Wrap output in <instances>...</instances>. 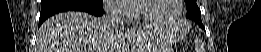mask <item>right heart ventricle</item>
<instances>
[{
    "label": "right heart ventricle",
    "mask_w": 261,
    "mask_h": 52,
    "mask_svg": "<svg viewBox=\"0 0 261 52\" xmlns=\"http://www.w3.org/2000/svg\"><path fill=\"white\" fill-rule=\"evenodd\" d=\"M125 8L127 9V10H132V6H125ZM142 20L139 18V17H135L134 18V21L132 22V24H136V23H139V22H141Z\"/></svg>",
    "instance_id": "e07e8e85"
}]
</instances>
